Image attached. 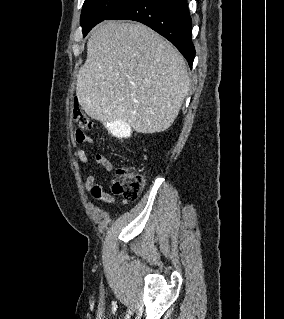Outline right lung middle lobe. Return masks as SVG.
Returning <instances> with one entry per match:
<instances>
[{"label": "right lung middle lobe", "instance_id": "obj_1", "mask_svg": "<svg viewBox=\"0 0 284 319\" xmlns=\"http://www.w3.org/2000/svg\"><path fill=\"white\" fill-rule=\"evenodd\" d=\"M132 0H85L80 25L85 36L96 24L107 19L115 11Z\"/></svg>", "mask_w": 284, "mask_h": 319}]
</instances>
